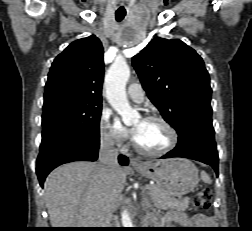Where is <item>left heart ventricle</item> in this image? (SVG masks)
Returning <instances> with one entry per match:
<instances>
[{
  "label": "left heart ventricle",
  "mask_w": 252,
  "mask_h": 231,
  "mask_svg": "<svg viewBox=\"0 0 252 231\" xmlns=\"http://www.w3.org/2000/svg\"><path fill=\"white\" fill-rule=\"evenodd\" d=\"M134 128L137 130L134 136L135 140L147 150H161L170 142V134L160 122L136 120Z\"/></svg>",
  "instance_id": "obj_1"
}]
</instances>
